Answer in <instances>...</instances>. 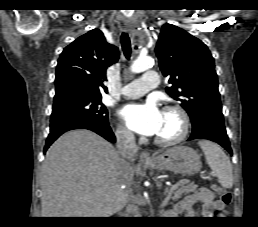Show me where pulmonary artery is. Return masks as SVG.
<instances>
[{
  "label": "pulmonary artery",
  "mask_w": 258,
  "mask_h": 227,
  "mask_svg": "<svg viewBox=\"0 0 258 227\" xmlns=\"http://www.w3.org/2000/svg\"><path fill=\"white\" fill-rule=\"evenodd\" d=\"M158 75L155 71L146 72L142 78L133 80L122 88V95L126 98H138L146 94L150 89L157 87Z\"/></svg>",
  "instance_id": "1"
}]
</instances>
